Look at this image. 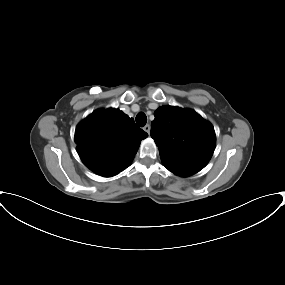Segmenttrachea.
<instances>
[{
  "instance_id": "obj_1",
  "label": "trachea",
  "mask_w": 285,
  "mask_h": 285,
  "mask_svg": "<svg viewBox=\"0 0 285 285\" xmlns=\"http://www.w3.org/2000/svg\"><path fill=\"white\" fill-rule=\"evenodd\" d=\"M147 122V117L144 113H138L136 116V123L140 126L143 127Z\"/></svg>"
}]
</instances>
